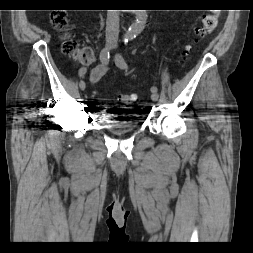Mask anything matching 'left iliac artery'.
Returning a JSON list of instances; mask_svg holds the SVG:
<instances>
[{
	"instance_id": "obj_1",
	"label": "left iliac artery",
	"mask_w": 253,
	"mask_h": 253,
	"mask_svg": "<svg viewBox=\"0 0 253 253\" xmlns=\"http://www.w3.org/2000/svg\"><path fill=\"white\" fill-rule=\"evenodd\" d=\"M128 41H125V43H127ZM115 61H116V64L118 67L122 68V69H126L128 67L126 61L124 60V58L120 55V54H117L116 57H115ZM151 91L152 92H157L158 89L156 86H152L151 87Z\"/></svg>"
}]
</instances>
